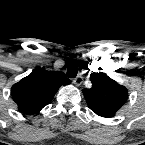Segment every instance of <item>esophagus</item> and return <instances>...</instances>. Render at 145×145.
<instances>
[{
  "mask_svg": "<svg viewBox=\"0 0 145 145\" xmlns=\"http://www.w3.org/2000/svg\"><path fill=\"white\" fill-rule=\"evenodd\" d=\"M83 82V78L81 75L77 76L75 79H73V83L76 85V86H80Z\"/></svg>",
  "mask_w": 145,
  "mask_h": 145,
  "instance_id": "obj_1",
  "label": "esophagus"
}]
</instances>
